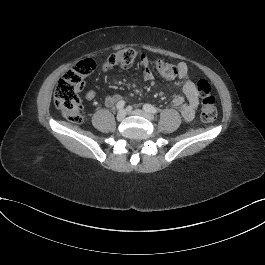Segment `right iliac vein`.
I'll return each mask as SVG.
<instances>
[{
	"label": "right iliac vein",
	"instance_id": "63e3f726",
	"mask_svg": "<svg viewBox=\"0 0 265 265\" xmlns=\"http://www.w3.org/2000/svg\"><path fill=\"white\" fill-rule=\"evenodd\" d=\"M126 116V112L125 110H120L118 113H117V116H116V119L118 121H122Z\"/></svg>",
	"mask_w": 265,
	"mask_h": 265
}]
</instances>
